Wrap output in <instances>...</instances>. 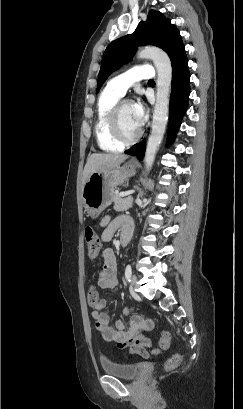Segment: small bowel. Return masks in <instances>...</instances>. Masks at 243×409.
<instances>
[{"label": "small bowel", "instance_id": "small-bowel-1", "mask_svg": "<svg viewBox=\"0 0 243 409\" xmlns=\"http://www.w3.org/2000/svg\"><path fill=\"white\" fill-rule=\"evenodd\" d=\"M103 225L105 226L101 235L103 242H109L119 228H121L122 233L126 230L133 231V223L126 217H118L113 221L105 219ZM101 256L103 266L98 274L97 284L104 289H117L116 256L113 250L109 248L103 250ZM107 302L108 299H99V302L95 306L90 305L95 327L101 333L102 338L105 341L116 342L119 349H128L132 354L147 357V349L152 346V343L142 332L152 329V321L142 316H133L129 321L128 327H124L121 320H116L115 327H112L109 324L108 315L102 311ZM123 312L126 314L128 308H125Z\"/></svg>", "mask_w": 243, "mask_h": 409}]
</instances>
